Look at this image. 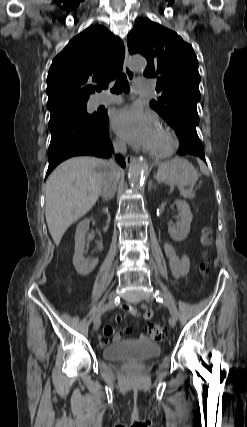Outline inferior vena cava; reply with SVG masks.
Returning <instances> with one entry per match:
<instances>
[{
  "mask_svg": "<svg viewBox=\"0 0 247 427\" xmlns=\"http://www.w3.org/2000/svg\"><path fill=\"white\" fill-rule=\"evenodd\" d=\"M113 147L116 153L125 154L127 151L126 144L123 141H115ZM106 162L108 170L102 180L101 195L105 200H109L115 195L120 172L114 159H109Z\"/></svg>",
  "mask_w": 247,
  "mask_h": 427,
  "instance_id": "obj_1",
  "label": "inferior vena cava"
}]
</instances>
